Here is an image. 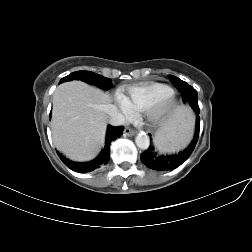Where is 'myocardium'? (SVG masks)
Returning a JSON list of instances; mask_svg holds the SVG:
<instances>
[{
    "mask_svg": "<svg viewBox=\"0 0 252 252\" xmlns=\"http://www.w3.org/2000/svg\"><path fill=\"white\" fill-rule=\"evenodd\" d=\"M175 96L172 92L151 102L142 112V120L148 125H159L175 107Z\"/></svg>",
    "mask_w": 252,
    "mask_h": 252,
    "instance_id": "f54148a6",
    "label": "myocardium"
}]
</instances>
